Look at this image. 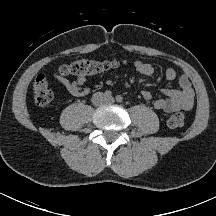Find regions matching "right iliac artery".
<instances>
[{
  "label": "right iliac artery",
  "instance_id": "82829eb1",
  "mask_svg": "<svg viewBox=\"0 0 216 216\" xmlns=\"http://www.w3.org/2000/svg\"><path fill=\"white\" fill-rule=\"evenodd\" d=\"M104 96H105L106 98H111V97H112L111 91L106 90V91L104 92Z\"/></svg>",
  "mask_w": 216,
  "mask_h": 216
}]
</instances>
